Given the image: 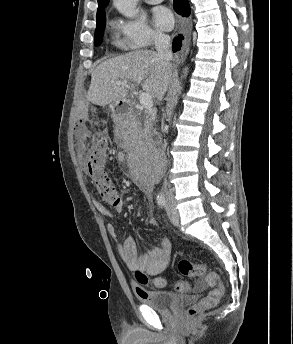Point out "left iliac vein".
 I'll return each instance as SVG.
<instances>
[{"label":"left iliac vein","mask_w":293,"mask_h":344,"mask_svg":"<svg viewBox=\"0 0 293 344\" xmlns=\"http://www.w3.org/2000/svg\"><path fill=\"white\" fill-rule=\"evenodd\" d=\"M167 214L169 216V219L172 221L174 225H178L179 223V214L176 208L172 203H169L167 205Z\"/></svg>","instance_id":"obj_1"}]
</instances>
